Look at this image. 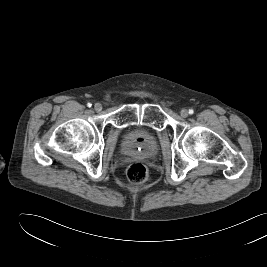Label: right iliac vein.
<instances>
[{
  "label": "right iliac vein",
  "mask_w": 267,
  "mask_h": 267,
  "mask_svg": "<svg viewBox=\"0 0 267 267\" xmlns=\"http://www.w3.org/2000/svg\"><path fill=\"white\" fill-rule=\"evenodd\" d=\"M94 109L97 112H100L102 110V104L101 103H95Z\"/></svg>",
  "instance_id": "obj_1"
}]
</instances>
